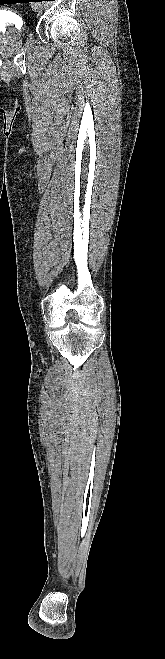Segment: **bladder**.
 Masks as SVG:
<instances>
[{"mask_svg": "<svg viewBox=\"0 0 165 659\" xmlns=\"http://www.w3.org/2000/svg\"><path fill=\"white\" fill-rule=\"evenodd\" d=\"M26 30L24 27H20L18 22H12L10 29L6 30L4 33L0 32V36H5L8 39L12 38H21L25 35Z\"/></svg>", "mask_w": 165, "mask_h": 659, "instance_id": "bladder-1", "label": "bladder"}]
</instances>
